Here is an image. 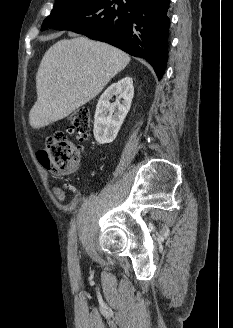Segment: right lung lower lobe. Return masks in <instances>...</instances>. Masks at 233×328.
<instances>
[{
    "instance_id": "1",
    "label": "right lung lower lobe",
    "mask_w": 233,
    "mask_h": 328,
    "mask_svg": "<svg viewBox=\"0 0 233 328\" xmlns=\"http://www.w3.org/2000/svg\"><path fill=\"white\" fill-rule=\"evenodd\" d=\"M169 0H96L50 27L107 42L147 60L160 80L168 59Z\"/></svg>"
}]
</instances>
